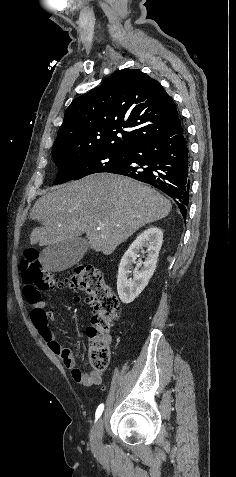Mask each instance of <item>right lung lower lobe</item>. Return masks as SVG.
Here are the masks:
<instances>
[{
	"mask_svg": "<svg viewBox=\"0 0 236 477\" xmlns=\"http://www.w3.org/2000/svg\"><path fill=\"white\" fill-rule=\"evenodd\" d=\"M126 154V162L108 173L153 185L176 202L185 219L189 203L190 155L180 119L167 132L131 146Z\"/></svg>",
	"mask_w": 236,
	"mask_h": 477,
	"instance_id": "1",
	"label": "right lung lower lobe"
}]
</instances>
